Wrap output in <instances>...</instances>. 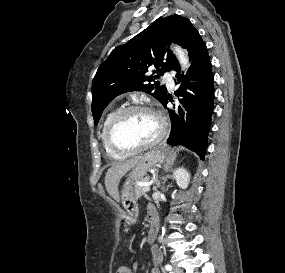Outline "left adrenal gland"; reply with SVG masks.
I'll return each mask as SVG.
<instances>
[{
  "label": "left adrenal gland",
  "mask_w": 285,
  "mask_h": 273,
  "mask_svg": "<svg viewBox=\"0 0 285 273\" xmlns=\"http://www.w3.org/2000/svg\"><path fill=\"white\" fill-rule=\"evenodd\" d=\"M155 182H156L157 187H159L160 186L159 181L156 179Z\"/></svg>",
  "instance_id": "a2214340"
}]
</instances>
